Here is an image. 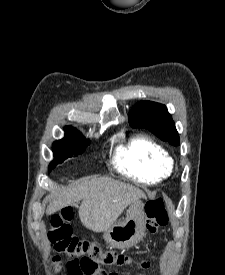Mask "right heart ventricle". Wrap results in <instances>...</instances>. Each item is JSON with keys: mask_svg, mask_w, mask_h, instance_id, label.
Wrapping results in <instances>:
<instances>
[{"mask_svg": "<svg viewBox=\"0 0 225 275\" xmlns=\"http://www.w3.org/2000/svg\"><path fill=\"white\" fill-rule=\"evenodd\" d=\"M113 163L123 175L143 184H155L169 177L173 161L166 149L145 135H135L119 144Z\"/></svg>", "mask_w": 225, "mask_h": 275, "instance_id": "right-heart-ventricle-1", "label": "right heart ventricle"}]
</instances>
